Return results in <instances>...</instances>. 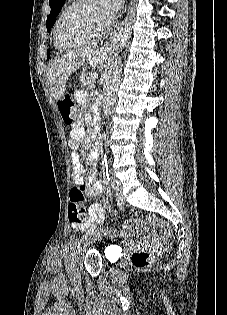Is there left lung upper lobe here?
Returning a JSON list of instances; mask_svg holds the SVG:
<instances>
[{
	"mask_svg": "<svg viewBox=\"0 0 227 315\" xmlns=\"http://www.w3.org/2000/svg\"><path fill=\"white\" fill-rule=\"evenodd\" d=\"M66 0H49V5L51 8L50 15L46 21L47 31L49 32L54 25L55 19L58 16L59 12L62 9ZM49 58V54H48Z\"/></svg>",
	"mask_w": 227,
	"mask_h": 315,
	"instance_id": "1",
	"label": "left lung upper lobe"
}]
</instances>
